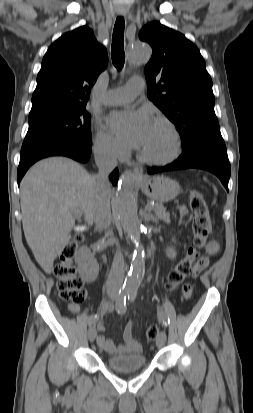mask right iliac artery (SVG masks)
<instances>
[{
    "instance_id": "obj_1",
    "label": "right iliac artery",
    "mask_w": 253,
    "mask_h": 413,
    "mask_svg": "<svg viewBox=\"0 0 253 413\" xmlns=\"http://www.w3.org/2000/svg\"><path fill=\"white\" fill-rule=\"evenodd\" d=\"M128 295V290H120L118 294V298L116 300V311L118 314H124L126 312V298ZM98 315L91 317L88 321V324L92 326L98 320Z\"/></svg>"
}]
</instances>
